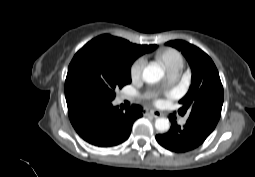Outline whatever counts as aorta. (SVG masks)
I'll list each match as a JSON object with an SVG mask.
<instances>
[{
	"label": "aorta",
	"mask_w": 255,
	"mask_h": 177,
	"mask_svg": "<svg viewBox=\"0 0 255 177\" xmlns=\"http://www.w3.org/2000/svg\"><path fill=\"white\" fill-rule=\"evenodd\" d=\"M164 76V71L161 67L156 65H148L143 70V80L147 83H157ZM155 128L159 132H167L170 128V122L166 118H158L155 121Z\"/></svg>",
	"instance_id": "obj_1"
}]
</instances>
